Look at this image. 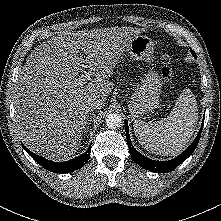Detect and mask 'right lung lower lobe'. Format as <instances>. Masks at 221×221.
Returning <instances> with one entry per match:
<instances>
[{"label":"right lung lower lobe","mask_w":221,"mask_h":221,"mask_svg":"<svg viewBox=\"0 0 221 221\" xmlns=\"http://www.w3.org/2000/svg\"><path fill=\"white\" fill-rule=\"evenodd\" d=\"M24 149L26 150V152L37 162L39 163L43 168H45L46 170L53 172V173H69V172H73L79 168H81L83 165H85V163L88 161L90 155V150L91 148H89L87 150V152L83 153L82 155L66 161V162H52L49 161L39 155H36L34 153H32L31 151H29L24 145H23Z\"/></svg>","instance_id":"obj_1"}]
</instances>
